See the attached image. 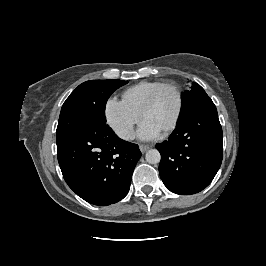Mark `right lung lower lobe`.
<instances>
[{"instance_id":"right-lung-lower-lobe-1","label":"right lung lower lobe","mask_w":266,"mask_h":266,"mask_svg":"<svg viewBox=\"0 0 266 266\" xmlns=\"http://www.w3.org/2000/svg\"><path fill=\"white\" fill-rule=\"evenodd\" d=\"M57 156L68 186L85 201L107 206L127 195L141 152L108 125H96L58 145Z\"/></svg>"}]
</instances>
